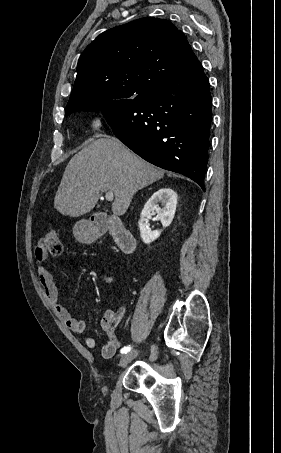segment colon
Wrapping results in <instances>:
<instances>
[{
    "label": "colon",
    "mask_w": 281,
    "mask_h": 453,
    "mask_svg": "<svg viewBox=\"0 0 281 453\" xmlns=\"http://www.w3.org/2000/svg\"><path fill=\"white\" fill-rule=\"evenodd\" d=\"M60 227L48 226L46 234L40 241L36 260L44 262L50 257H58L61 254Z\"/></svg>",
    "instance_id": "colon-1"
}]
</instances>
